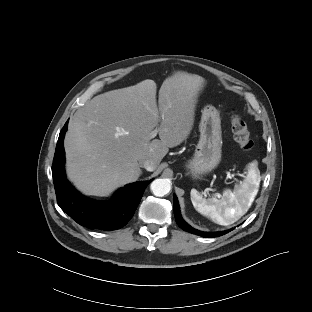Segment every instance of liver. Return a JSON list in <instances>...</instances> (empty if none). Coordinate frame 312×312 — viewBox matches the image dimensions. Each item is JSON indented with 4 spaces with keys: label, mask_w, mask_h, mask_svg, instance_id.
I'll use <instances>...</instances> for the list:
<instances>
[{
    "label": "liver",
    "mask_w": 312,
    "mask_h": 312,
    "mask_svg": "<svg viewBox=\"0 0 312 312\" xmlns=\"http://www.w3.org/2000/svg\"><path fill=\"white\" fill-rule=\"evenodd\" d=\"M205 82L186 72L166 78L159 110L150 79L95 96L69 121L64 141L69 177L85 194L105 196L139 178V160L158 166L169 148L189 136ZM155 127L160 140L150 141Z\"/></svg>",
    "instance_id": "1"
}]
</instances>
